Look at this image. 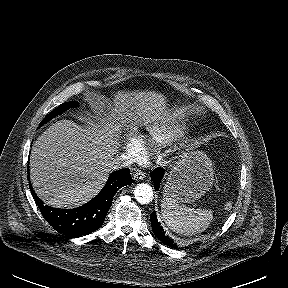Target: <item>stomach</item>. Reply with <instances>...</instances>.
<instances>
[{
	"mask_svg": "<svg viewBox=\"0 0 288 288\" xmlns=\"http://www.w3.org/2000/svg\"><path fill=\"white\" fill-rule=\"evenodd\" d=\"M213 181L214 168L210 158L202 151L185 152L168 173L163 197L192 203L212 188Z\"/></svg>",
	"mask_w": 288,
	"mask_h": 288,
	"instance_id": "obj_1",
	"label": "stomach"
}]
</instances>
